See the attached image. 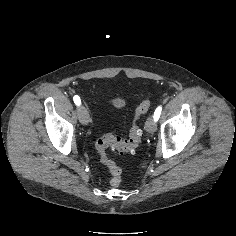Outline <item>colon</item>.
<instances>
[{
    "label": "colon",
    "mask_w": 236,
    "mask_h": 236,
    "mask_svg": "<svg viewBox=\"0 0 236 236\" xmlns=\"http://www.w3.org/2000/svg\"><path fill=\"white\" fill-rule=\"evenodd\" d=\"M150 106V100H145L137 106L134 112L128 138L122 139L112 134H106L99 138L95 144L100 161L108 168L112 175L110 183L114 187H118L122 182V169L108 157L106 151L107 149H112L120 153H133L140 147L142 130L138 126L137 121L149 110Z\"/></svg>",
    "instance_id": "1"
}]
</instances>
